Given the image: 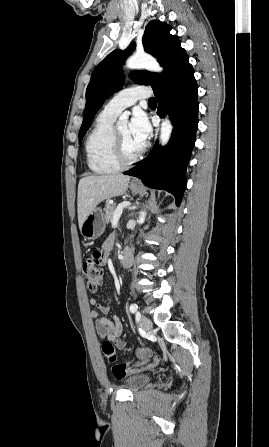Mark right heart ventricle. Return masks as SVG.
<instances>
[{
	"label": "right heart ventricle",
	"instance_id": "1",
	"mask_svg": "<svg viewBox=\"0 0 269 447\" xmlns=\"http://www.w3.org/2000/svg\"><path fill=\"white\" fill-rule=\"evenodd\" d=\"M116 116L104 110L98 115L94 128L86 142L89 168L98 174L111 173L120 168L112 153L113 122Z\"/></svg>",
	"mask_w": 269,
	"mask_h": 447
}]
</instances>
